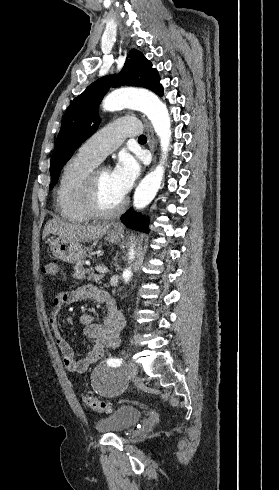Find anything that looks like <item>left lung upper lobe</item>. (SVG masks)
Here are the masks:
<instances>
[{
	"label": "left lung upper lobe",
	"instance_id": "5c2ea615",
	"mask_svg": "<svg viewBox=\"0 0 279 490\" xmlns=\"http://www.w3.org/2000/svg\"><path fill=\"white\" fill-rule=\"evenodd\" d=\"M159 80L158 72L152 68L151 62L140 51L132 49L118 75L103 77L95 81L76 97L63 116L61 129L51 156L50 174L53 183H57L62 165L71 158L82 142L96 131L100 123L96 109L110 85L113 87L121 85L144 87L162 96L163 88ZM49 189H52V185Z\"/></svg>",
	"mask_w": 279,
	"mask_h": 490
}]
</instances>
